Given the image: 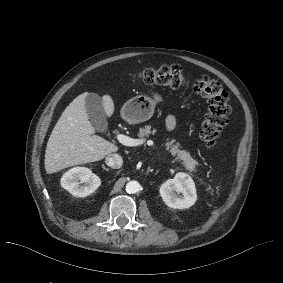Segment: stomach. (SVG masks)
<instances>
[{"label":"stomach","instance_id":"0dacf381","mask_svg":"<svg viewBox=\"0 0 283 283\" xmlns=\"http://www.w3.org/2000/svg\"><path fill=\"white\" fill-rule=\"evenodd\" d=\"M154 106L155 101L149 97L137 96L122 106L120 116L128 125H135L150 119Z\"/></svg>","mask_w":283,"mask_h":283}]
</instances>
